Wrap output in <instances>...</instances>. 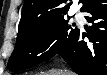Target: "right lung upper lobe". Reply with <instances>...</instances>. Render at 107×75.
<instances>
[{
  "mask_svg": "<svg viewBox=\"0 0 107 75\" xmlns=\"http://www.w3.org/2000/svg\"><path fill=\"white\" fill-rule=\"evenodd\" d=\"M70 5L66 0H25L19 26L37 27L63 18Z\"/></svg>",
  "mask_w": 107,
  "mask_h": 75,
  "instance_id": "cb5924a9",
  "label": "right lung upper lobe"
}]
</instances>
